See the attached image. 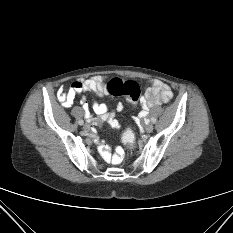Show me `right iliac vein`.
I'll return each instance as SVG.
<instances>
[{
	"mask_svg": "<svg viewBox=\"0 0 233 233\" xmlns=\"http://www.w3.org/2000/svg\"><path fill=\"white\" fill-rule=\"evenodd\" d=\"M83 128H84V130L89 131V130H90V125L87 124V123H85V124L83 125Z\"/></svg>",
	"mask_w": 233,
	"mask_h": 233,
	"instance_id": "63e3f726",
	"label": "right iliac vein"
}]
</instances>
